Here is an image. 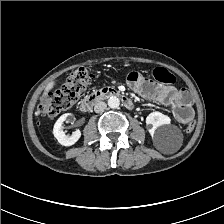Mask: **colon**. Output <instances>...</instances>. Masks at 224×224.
I'll use <instances>...</instances> for the list:
<instances>
[{"label": "colon", "mask_w": 224, "mask_h": 224, "mask_svg": "<svg viewBox=\"0 0 224 224\" xmlns=\"http://www.w3.org/2000/svg\"><path fill=\"white\" fill-rule=\"evenodd\" d=\"M153 77L164 84H174L176 77L163 67H156ZM91 82L90 71L86 67H78L72 71L67 82L59 89L45 94L39 103L38 114L41 116H56L72 107L81 97L86 87ZM195 122H190L187 132L193 131Z\"/></svg>", "instance_id": "colon-1"}]
</instances>
